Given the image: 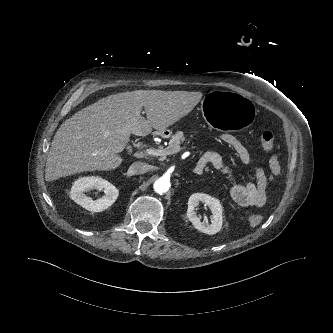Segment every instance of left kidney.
I'll return each mask as SVG.
<instances>
[{
    "label": "left kidney",
    "mask_w": 333,
    "mask_h": 333,
    "mask_svg": "<svg viewBox=\"0 0 333 333\" xmlns=\"http://www.w3.org/2000/svg\"><path fill=\"white\" fill-rule=\"evenodd\" d=\"M200 202L205 203L210 208L213 216L212 224L201 221L197 217L195 207H197ZM187 217L196 229L209 235L216 234L222 228V206L218 199L207 194L194 193L190 196L188 200Z\"/></svg>",
    "instance_id": "left-kidney-1"
}]
</instances>
